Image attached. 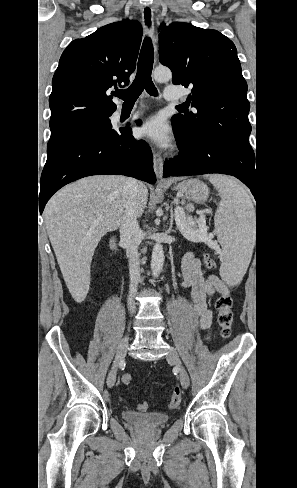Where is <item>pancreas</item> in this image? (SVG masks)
<instances>
[{"label":"pancreas","mask_w":297,"mask_h":488,"mask_svg":"<svg viewBox=\"0 0 297 488\" xmlns=\"http://www.w3.org/2000/svg\"><path fill=\"white\" fill-rule=\"evenodd\" d=\"M192 220H193V224H190V227H192L193 229H196V228H197V224H198V225H201V223H202V222H201L199 219H197V218H194V219H192Z\"/></svg>","instance_id":"obj_1"}]
</instances>
